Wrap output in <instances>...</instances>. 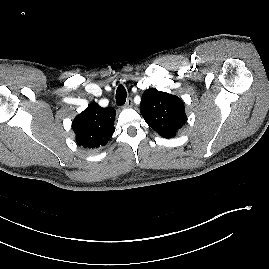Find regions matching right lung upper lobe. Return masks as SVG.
<instances>
[{"instance_id":"1","label":"right lung upper lobe","mask_w":269,"mask_h":269,"mask_svg":"<svg viewBox=\"0 0 269 269\" xmlns=\"http://www.w3.org/2000/svg\"><path fill=\"white\" fill-rule=\"evenodd\" d=\"M114 120V108H102L96 102H92L73 120L72 128L77 144L84 148L106 145L115 131Z\"/></svg>"}]
</instances>
